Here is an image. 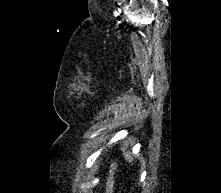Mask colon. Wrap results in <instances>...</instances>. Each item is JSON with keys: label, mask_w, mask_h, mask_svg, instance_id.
Masks as SVG:
<instances>
[{"label": "colon", "mask_w": 221, "mask_h": 193, "mask_svg": "<svg viewBox=\"0 0 221 193\" xmlns=\"http://www.w3.org/2000/svg\"><path fill=\"white\" fill-rule=\"evenodd\" d=\"M117 169V163L114 161L111 163L107 176V193H113L114 189V175Z\"/></svg>", "instance_id": "1"}]
</instances>
